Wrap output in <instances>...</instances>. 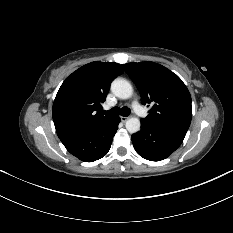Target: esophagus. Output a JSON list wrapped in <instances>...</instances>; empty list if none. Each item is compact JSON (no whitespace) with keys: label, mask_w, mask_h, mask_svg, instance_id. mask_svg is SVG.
<instances>
[{"label":"esophagus","mask_w":233,"mask_h":233,"mask_svg":"<svg viewBox=\"0 0 233 233\" xmlns=\"http://www.w3.org/2000/svg\"><path fill=\"white\" fill-rule=\"evenodd\" d=\"M120 119L122 122H126L128 120V117L121 116Z\"/></svg>","instance_id":"esophagus-1"}]
</instances>
